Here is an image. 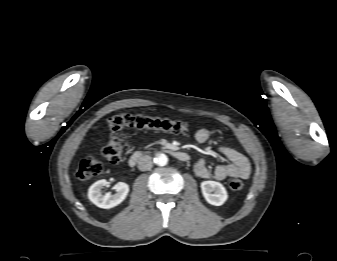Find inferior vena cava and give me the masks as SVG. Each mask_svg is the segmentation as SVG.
<instances>
[{
  "label": "inferior vena cava",
  "instance_id": "602c4592",
  "mask_svg": "<svg viewBox=\"0 0 337 261\" xmlns=\"http://www.w3.org/2000/svg\"><path fill=\"white\" fill-rule=\"evenodd\" d=\"M153 165L152 157L149 155H143L138 160V168L141 171L150 170Z\"/></svg>",
  "mask_w": 337,
  "mask_h": 261
}]
</instances>
